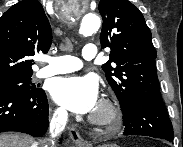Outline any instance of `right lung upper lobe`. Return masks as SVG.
I'll use <instances>...</instances> for the list:
<instances>
[{
    "mask_svg": "<svg viewBox=\"0 0 183 147\" xmlns=\"http://www.w3.org/2000/svg\"><path fill=\"white\" fill-rule=\"evenodd\" d=\"M52 32L38 0H23L0 17V80L32 75L37 52L47 53Z\"/></svg>",
    "mask_w": 183,
    "mask_h": 147,
    "instance_id": "1",
    "label": "right lung upper lobe"
}]
</instances>
